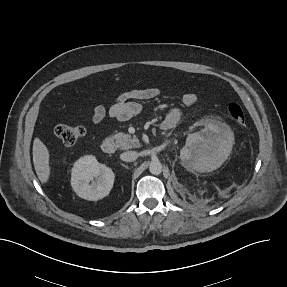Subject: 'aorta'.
I'll use <instances>...</instances> for the list:
<instances>
[{"instance_id": "aorta-1", "label": "aorta", "mask_w": 287, "mask_h": 287, "mask_svg": "<svg viewBox=\"0 0 287 287\" xmlns=\"http://www.w3.org/2000/svg\"><path fill=\"white\" fill-rule=\"evenodd\" d=\"M149 171L153 175H159L162 172V164L159 160H153L149 165Z\"/></svg>"}]
</instances>
